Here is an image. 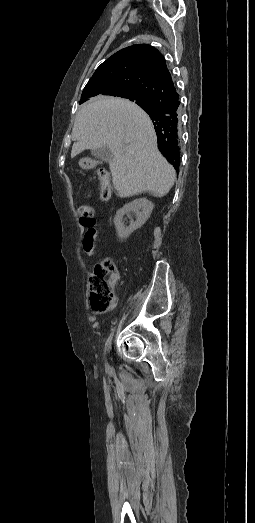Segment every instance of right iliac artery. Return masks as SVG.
<instances>
[{
	"instance_id": "82829eb1",
	"label": "right iliac artery",
	"mask_w": 255,
	"mask_h": 523,
	"mask_svg": "<svg viewBox=\"0 0 255 523\" xmlns=\"http://www.w3.org/2000/svg\"><path fill=\"white\" fill-rule=\"evenodd\" d=\"M113 333H114V329L112 331V333L109 335L106 343H105V352L109 351L110 348H111V342H112V337H113Z\"/></svg>"
}]
</instances>
